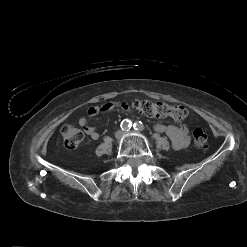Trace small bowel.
<instances>
[{"mask_svg":"<svg viewBox=\"0 0 247 247\" xmlns=\"http://www.w3.org/2000/svg\"><path fill=\"white\" fill-rule=\"evenodd\" d=\"M115 107H120L125 111H130V107L125 103H107L101 107L93 106L88 109V117H82L79 120L80 126L83 128L84 132L93 140H97L99 138V133L97 132L94 126L90 125L89 119L98 115L100 112H105L112 110ZM155 130L159 133L166 134L175 149H183L187 147L190 143V137L188 133V128L185 125H164V124H156Z\"/></svg>","mask_w":247,"mask_h":247,"instance_id":"c3829d8e","label":"small bowel"}]
</instances>
